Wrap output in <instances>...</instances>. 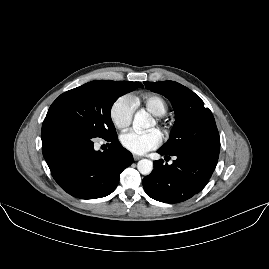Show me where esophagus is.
Masks as SVG:
<instances>
[{
	"mask_svg": "<svg viewBox=\"0 0 269 269\" xmlns=\"http://www.w3.org/2000/svg\"><path fill=\"white\" fill-rule=\"evenodd\" d=\"M133 158H134V161H138V160H140L142 158V156L134 154Z\"/></svg>",
	"mask_w": 269,
	"mask_h": 269,
	"instance_id": "1",
	"label": "esophagus"
}]
</instances>
